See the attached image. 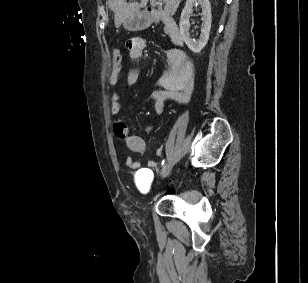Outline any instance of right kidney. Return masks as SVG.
I'll return each instance as SVG.
<instances>
[{
    "label": "right kidney",
    "instance_id": "1",
    "mask_svg": "<svg viewBox=\"0 0 308 283\" xmlns=\"http://www.w3.org/2000/svg\"><path fill=\"white\" fill-rule=\"evenodd\" d=\"M200 4L202 8L201 13V20H202V27H201V34L198 40L191 38L189 29L190 23L189 18L192 13V8L196 4ZM211 4L209 0H187L185 7L181 13L180 17V34L182 39L188 46V48L194 53H200L201 50L206 46L209 40V33L211 29Z\"/></svg>",
    "mask_w": 308,
    "mask_h": 283
}]
</instances>
